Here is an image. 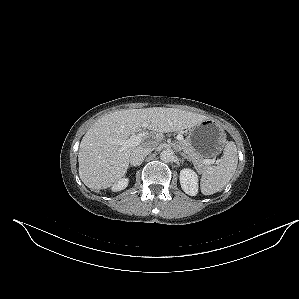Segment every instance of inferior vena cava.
<instances>
[{
    "label": "inferior vena cava",
    "instance_id": "1",
    "mask_svg": "<svg viewBox=\"0 0 299 299\" xmlns=\"http://www.w3.org/2000/svg\"><path fill=\"white\" fill-rule=\"evenodd\" d=\"M152 151L151 148L137 147L130 155V163L133 166L142 164L144 158Z\"/></svg>",
    "mask_w": 299,
    "mask_h": 299
}]
</instances>
